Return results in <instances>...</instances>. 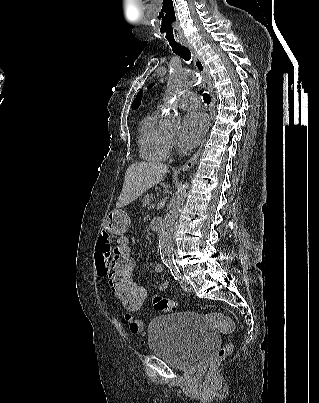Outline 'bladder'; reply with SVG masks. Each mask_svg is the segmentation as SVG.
Listing matches in <instances>:
<instances>
[{"mask_svg":"<svg viewBox=\"0 0 319 403\" xmlns=\"http://www.w3.org/2000/svg\"><path fill=\"white\" fill-rule=\"evenodd\" d=\"M147 334L150 351L184 371L199 367L219 346L210 323L196 313L156 316L149 323Z\"/></svg>","mask_w":319,"mask_h":403,"instance_id":"obj_1","label":"bladder"}]
</instances>
